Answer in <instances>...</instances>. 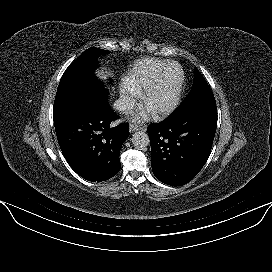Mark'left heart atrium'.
<instances>
[{
    "label": "left heart atrium",
    "instance_id": "left-heart-atrium-1",
    "mask_svg": "<svg viewBox=\"0 0 272 272\" xmlns=\"http://www.w3.org/2000/svg\"><path fill=\"white\" fill-rule=\"evenodd\" d=\"M149 109L146 110H142L140 111L137 115H136V119L142 120V119H146L149 115Z\"/></svg>",
    "mask_w": 272,
    "mask_h": 272
}]
</instances>
